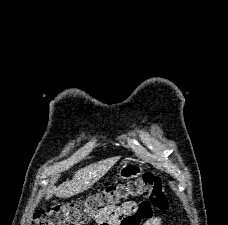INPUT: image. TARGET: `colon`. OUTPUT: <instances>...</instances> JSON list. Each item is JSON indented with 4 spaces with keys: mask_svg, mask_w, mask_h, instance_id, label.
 I'll list each match as a JSON object with an SVG mask.
<instances>
[{
    "mask_svg": "<svg viewBox=\"0 0 228 225\" xmlns=\"http://www.w3.org/2000/svg\"><path fill=\"white\" fill-rule=\"evenodd\" d=\"M137 196L146 198L159 209L169 206L162 179L147 173L130 183L113 184L103 188L86 200L40 208L34 215L33 225H89L104 209L114 211L116 205L126 197Z\"/></svg>",
    "mask_w": 228,
    "mask_h": 225,
    "instance_id": "5ec220e1",
    "label": "colon"
}]
</instances>
